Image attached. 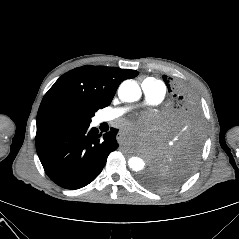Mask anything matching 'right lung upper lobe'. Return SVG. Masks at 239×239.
Instances as JSON below:
<instances>
[{
	"label": "right lung upper lobe",
	"mask_w": 239,
	"mask_h": 239,
	"mask_svg": "<svg viewBox=\"0 0 239 239\" xmlns=\"http://www.w3.org/2000/svg\"><path fill=\"white\" fill-rule=\"evenodd\" d=\"M138 74L107 66H82L65 73L40 104L36 140L89 125L98 109L110 105L119 84Z\"/></svg>",
	"instance_id": "1"
}]
</instances>
